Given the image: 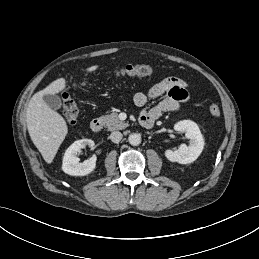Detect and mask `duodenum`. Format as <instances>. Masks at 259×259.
<instances>
[{
  "instance_id": "duodenum-1",
  "label": "duodenum",
  "mask_w": 259,
  "mask_h": 259,
  "mask_svg": "<svg viewBox=\"0 0 259 259\" xmlns=\"http://www.w3.org/2000/svg\"><path fill=\"white\" fill-rule=\"evenodd\" d=\"M154 122V119L148 117V116H141L140 117V123L143 125V126H150L152 125V123ZM102 127H103V122L101 119L99 118H94L91 120L90 122V129L93 131V132H100L102 130Z\"/></svg>"
}]
</instances>
